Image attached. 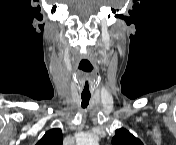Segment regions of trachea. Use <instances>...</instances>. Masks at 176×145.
Instances as JSON below:
<instances>
[{"mask_svg": "<svg viewBox=\"0 0 176 145\" xmlns=\"http://www.w3.org/2000/svg\"><path fill=\"white\" fill-rule=\"evenodd\" d=\"M90 95H81V99H82V108H86L89 104V101H90Z\"/></svg>", "mask_w": 176, "mask_h": 145, "instance_id": "trachea-1", "label": "trachea"}]
</instances>
